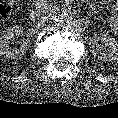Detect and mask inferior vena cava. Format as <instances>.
<instances>
[{
    "mask_svg": "<svg viewBox=\"0 0 118 118\" xmlns=\"http://www.w3.org/2000/svg\"><path fill=\"white\" fill-rule=\"evenodd\" d=\"M47 21V17H41L36 21V25L37 26H42L45 24V22Z\"/></svg>",
    "mask_w": 118,
    "mask_h": 118,
    "instance_id": "1",
    "label": "inferior vena cava"
}]
</instances>
